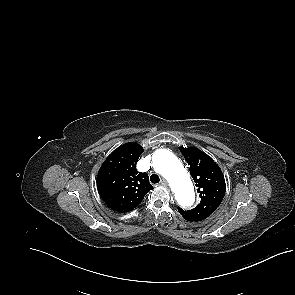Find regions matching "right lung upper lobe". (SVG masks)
<instances>
[{
    "instance_id": "obj_1",
    "label": "right lung upper lobe",
    "mask_w": 295,
    "mask_h": 295,
    "mask_svg": "<svg viewBox=\"0 0 295 295\" xmlns=\"http://www.w3.org/2000/svg\"><path fill=\"white\" fill-rule=\"evenodd\" d=\"M143 149L137 143H126L114 150L98 173V191L105 204L119 213L129 212L153 189L147 173L136 170Z\"/></svg>"
}]
</instances>
